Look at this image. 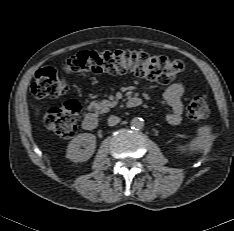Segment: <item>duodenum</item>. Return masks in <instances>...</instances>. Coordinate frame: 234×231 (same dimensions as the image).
<instances>
[{"label":"duodenum","instance_id":"obj_1","mask_svg":"<svg viewBox=\"0 0 234 231\" xmlns=\"http://www.w3.org/2000/svg\"><path fill=\"white\" fill-rule=\"evenodd\" d=\"M131 108L139 107L142 104L141 98L137 96L130 97L127 102ZM83 127L86 130H94L98 127V117L95 113H87L83 118Z\"/></svg>","mask_w":234,"mask_h":231}]
</instances>
